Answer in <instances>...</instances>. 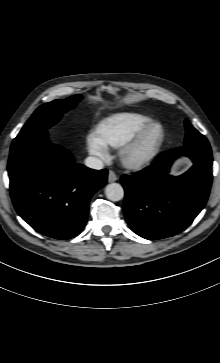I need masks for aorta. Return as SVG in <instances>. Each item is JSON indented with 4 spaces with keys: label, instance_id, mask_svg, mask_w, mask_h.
<instances>
[{
    "label": "aorta",
    "instance_id": "1",
    "mask_svg": "<svg viewBox=\"0 0 220 363\" xmlns=\"http://www.w3.org/2000/svg\"><path fill=\"white\" fill-rule=\"evenodd\" d=\"M105 195L111 201H120L124 197V189L118 183H111L106 186Z\"/></svg>",
    "mask_w": 220,
    "mask_h": 363
}]
</instances>
